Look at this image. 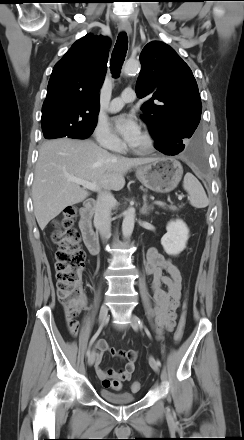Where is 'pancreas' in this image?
Returning <instances> with one entry per match:
<instances>
[{
  "mask_svg": "<svg viewBox=\"0 0 244 440\" xmlns=\"http://www.w3.org/2000/svg\"><path fill=\"white\" fill-rule=\"evenodd\" d=\"M180 207H182V206H180ZM170 210H172V211H176L177 208H176V207H170Z\"/></svg>",
  "mask_w": 244,
  "mask_h": 440,
  "instance_id": "1",
  "label": "pancreas"
}]
</instances>
